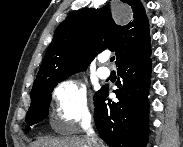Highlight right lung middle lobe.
Returning <instances> with one entry per match:
<instances>
[{
  "label": "right lung middle lobe",
  "mask_w": 183,
  "mask_h": 147,
  "mask_svg": "<svg viewBox=\"0 0 183 147\" xmlns=\"http://www.w3.org/2000/svg\"><path fill=\"white\" fill-rule=\"evenodd\" d=\"M68 77L57 79L48 86L31 91V105L26 115L27 126L30 130L31 125L41 122L47 117L49 112V105L51 101V92L56 85Z\"/></svg>",
  "instance_id": "right-lung-middle-lobe-1"
}]
</instances>
